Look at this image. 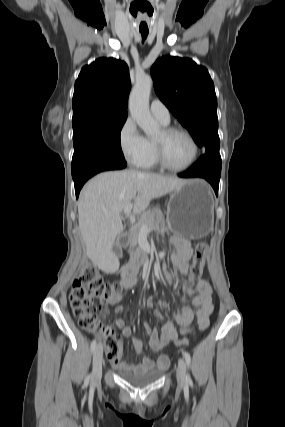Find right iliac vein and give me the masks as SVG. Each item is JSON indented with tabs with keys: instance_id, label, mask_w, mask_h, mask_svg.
Instances as JSON below:
<instances>
[{
	"instance_id": "1",
	"label": "right iliac vein",
	"mask_w": 285,
	"mask_h": 427,
	"mask_svg": "<svg viewBox=\"0 0 285 427\" xmlns=\"http://www.w3.org/2000/svg\"><path fill=\"white\" fill-rule=\"evenodd\" d=\"M103 349L98 345L93 355L92 383L100 380L102 375Z\"/></svg>"
}]
</instances>
